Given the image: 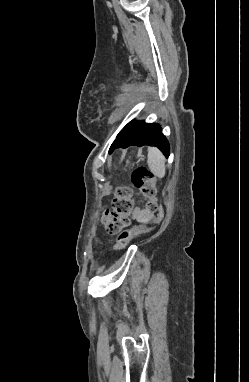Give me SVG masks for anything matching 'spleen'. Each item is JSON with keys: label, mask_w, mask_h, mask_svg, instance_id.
Wrapping results in <instances>:
<instances>
[{"label": "spleen", "mask_w": 249, "mask_h": 382, "mask_svg": "<svg viewBox=\"0 0 249 382\" xmlns=\"http://www.w3.org/2000/svg\"><path fill=\"white\" fill-rule=\"evenodd\" d=\"M149 169L151 172L159 177L163 178L166 174L165 157L161 151L155 147L148 150V160Z\"/></svg>", "instance_id": "spleen-1"}]
</instances>
